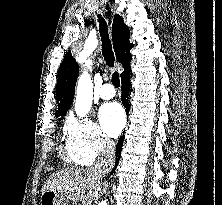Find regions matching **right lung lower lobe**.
I'll use <instances>...</instances> for the list:
<instances>
[{
    "mask_svg": "<svg viewBox=\"0 0 222 205\" xmlns=\"http://www.w3.org/2000/svg\"><path fill=\"white\" fill-rule=\"evenodd\" d=\"M131 75H132V72L126 74L125 76H123L121 78V83H122L121 100H122L124 107L126 108V113H128V111L130 109L129 93L132 91V86L130 85ZM123 140H124V137L121 136L118 140L117 145H116V160H117V162L119 161V158H120ZM111 174H112V172H111Z\"/></svg>",
    "mask_w": 222,
    "mask_h": 205,
    "instance_id": "right-lung-lower-lobe-1",
    "label": "right lung lower lobe"
}]
</instances>
